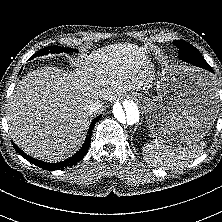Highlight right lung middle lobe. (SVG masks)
Wrapping results in <instances>:
<instances>
[{
	"label": "right lung middle lobe",
	"instance_id": "dd1d6c3e",
	"mask_svg": "<svg viewBox=\"0 0 222 222\" xmlns=\"http://www.w3.org/2000/svg\"><path fill=\"white\" fill-rule=\"evenodd\" d=\"M66 52V53H73V52H78L76 49H70V48H60L58 46H49L48 48H43L39 50L37 53H35L32 58H35L36 56H42L46 55L49 53H60V52Z\"/></svg>",
	"mask_w": 222,
	"mask_h": 222
}]
</instances>
